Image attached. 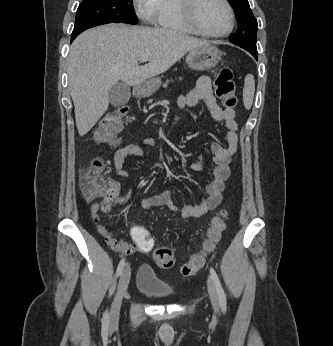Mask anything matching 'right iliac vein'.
<instances>
[{"instance_id":"1","label":"right iliac vein","mask_w":333,"mask_h":346,"mask_svg":"<svg viewBox=\"0 0 333 346\" xmlns=\"http://www.w3.org/2000/svg\"><path fill=\"white\" fill-rule=\"evenodd\" d=\"M130 268L126 267L119 279L117 290L113 299V303L110 310V324L114 325L117 323L120 314V308L123 296L128 288L130 281Z\"/></svg>"}]
</instances>
